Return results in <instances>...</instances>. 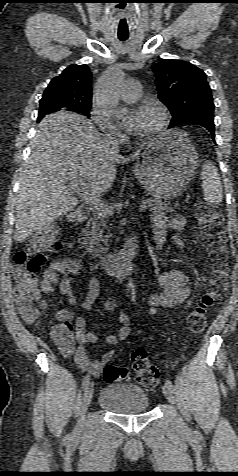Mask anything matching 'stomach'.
Masks as SVG:
<instances>
[{
	"label": "stomach",
	"mask_w": 238,
	"mask_h": 476,
	"mask_svg": "<svg viewBox=\"0 0 238 476\" xmlns=\"http://www.w3.org/2000/svg\"><path fill=\"white\" fill-rule=\"evenodd\" d=\"M198 153L185 133L172 130L155 137L134 167L139 183L154 197L174 198L189 183Z\"/></svg>",
	"instance_id": "0dacf381"
}]
</instances>
